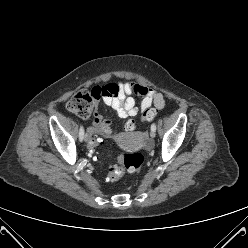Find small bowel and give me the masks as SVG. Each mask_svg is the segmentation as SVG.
Listing matches in <instances>:
<instances>
[{
  "mask_svg": "<svg viewBox=\"0 0 248 248\" xmlns=\"http://www.w3.org/2000/svg\"><path fill=\"white\" fill-rule=\"evenodd\" d=\"M111 84L118 87V92L116 94L107 93L103 96V102L112 107L121 118L134 117L152 105L157 109L165 106V100L161 93L141 83L126 81ZM132 95L142 98L139 106ZM90 128L96 129L98 134L103 133L117 137V133L111 129V121L103 120L98 113L94 114Z\"/></svg>",
  "mask_w": 248,
  "mask_h": 248,
  "instance_id": "obj_1",
  "label": "small bowel"
}]
</instances>
